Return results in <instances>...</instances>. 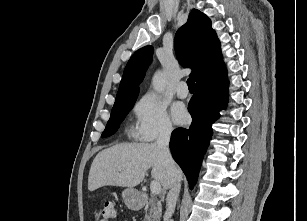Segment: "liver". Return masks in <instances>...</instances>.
<instances>
[{"mask_svg": "<svg viewBox=\"0 0 307 221\" xmlns=\"http://www.w3.org/2000/svg\"><path fill=\"white\" fill-rule=\"evenodd\" d=\"M149 168L151 177L163 189L174 179L181 181L182 172L175 163L171 170L156 143H122L106 148L94 158L88 176V190L113 185L133 188L140 184Z\"/></svg>", "mask_w": 307, "mask_h": 221, "instance_id": "6515ba94", "label": "liver"}]
</instances>
